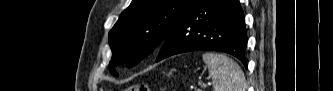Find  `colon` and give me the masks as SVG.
Listing matches in <instances>:
<instances>
[{
	"instance_id": "colon-1",
	"label": "colon",
	"mask_w": 333,
	"mask_h": 91,
	"mask_svg": "<svg viewBox=\"0 0 333 91\" xmlns=\"http://www.w3.org/2000/svg\"><path fill=\"white\" fill-rule=\"evenodd\" d=\"M127 91H148V88L145 84H135L130 86Z\"/></svg>"
}]
</instances>
